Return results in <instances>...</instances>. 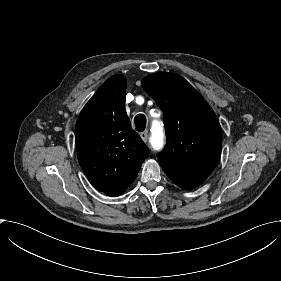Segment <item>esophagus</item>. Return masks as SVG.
Returning <instances> with one entry per match:
<instances>
[{"label": "esophagus", "instance_id": "esophagus-1", "mask_svg": "<svg viewBox=\"0 0 281 281\" xmlns=\"http://www.w3.org/2000/svg\"><path fill=\"white\" fill-rule=\"evenodd\" d=\"M140 137L142 138V140H143L144 142H147V140H148V132H147V131L141 132V133H140Z\"/></svg>", "mask_w": 281, "mask_h": 281}]
</instances>
